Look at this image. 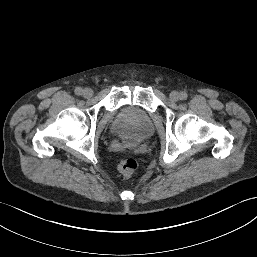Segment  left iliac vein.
I'll return each instance as SVG.
<instances>
[{"mask_svg": "<svg viewBox=\"0 0 257 257\" xmlns=\"http://www.w3.org/2000/svg\"><path fill=\"white\" fill-rule=\"evenodd\" d=\"M180 95L177 91H172L169 95L171 101L176 102L179 99Z\"/></svg>", "mask_w": 257, "mask_h": 257, "instance_id": "left-iliac-vein-1", "label": "left iliac vein"}]
</instances>
